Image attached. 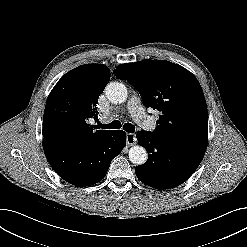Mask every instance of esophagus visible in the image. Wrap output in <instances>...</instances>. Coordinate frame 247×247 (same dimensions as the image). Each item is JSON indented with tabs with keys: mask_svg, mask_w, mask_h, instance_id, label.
<instances>
[{
	"mask_svg": "<svg viewBox=\"0 0 247 247\" xmlns=\"http://www.w3.org/2000/svg\"><path fill=\"white\" fill-rule=\"evenodd\" d=\"M126 143L129 146L136 144V136L134 133H127L126 134Z\"/></svg>",
	"mask_w": 247,
	"mask_h": 247,
	"instance_id": "1",
	"label": "esophagus"
}]
</instances>
